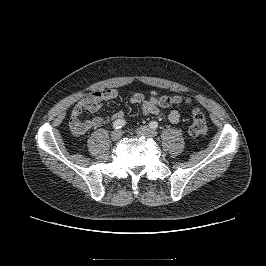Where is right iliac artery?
I'll return each instance as SVG.
<instances>
[{
  "label": "right iliac artery",
  "instance_id": "1",
  "mask_svg": "<svg viewBox=\"0 0 266 266\" xmlns=\"http://www.w3.org/2000/svg\"><path fill=\"white\" fill-rule=\"evenodd\" d=\"M126 124L124 119H117L113 122V128L114 129H120Z\"/></svg>",
  "mask_w": 266,
  "mask_h": 266
}]
</instances>
